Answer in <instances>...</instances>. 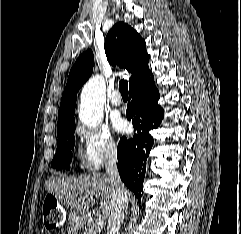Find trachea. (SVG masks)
Segmentation results:
<instances>
[{"label":"trachea","mask_w":241,"mask_h":234,"mask_svg":"<svg viewBox=\"0 0 241 234\" xmlns=\"http://www.w3.org/2000/svg\"><path fill=\"white\" fill-rule=\"evenodd\" d=\"M119 90H120L122 97L128 96V81L127 80L122 79L119 82Z\"/></svg>","instance_id":"trachea-1"}]
</instances>
